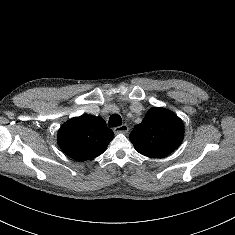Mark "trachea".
Listing matches in <instances>:
<instances>
[{
  "instance_id": "3493384b",
  "label": "trachea",
  "mask_w": 235,
  "mask_h": 235,
  "mask_svg": "<svg viewBox=\"0 0 235 235\" xmlns=\"http://www.w3.org/2000/svg\"><path fill=\"white\" fill-rule=\"evenodd\" d=\"M122 125V119L118 114H113L110 116L109 121H108V126L109 127H117Z\"/></svg>"
}]
</instances>
